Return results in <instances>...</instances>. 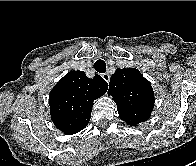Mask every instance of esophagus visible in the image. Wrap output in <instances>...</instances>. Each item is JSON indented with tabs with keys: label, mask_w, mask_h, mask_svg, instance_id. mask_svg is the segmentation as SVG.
<instances>
[{
	"label": "esophagus",
	"mask_w": 196,
	"mask_h": 166,
	"mask_svg": "<svg viewBox=\"0 0 196 166\" xmlns=\"http://www.w3.org/2000/svg\"><path fill=\"white\" fill-rule=\"evenodd\" d=\"M102 77H103V79H104L107 83H109V81H110V75H109L108 73H104V74L102 75Z\"/></svg>",
	"instance_id": "obj_1"
}]
</instances>
